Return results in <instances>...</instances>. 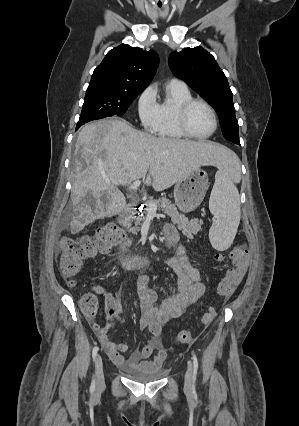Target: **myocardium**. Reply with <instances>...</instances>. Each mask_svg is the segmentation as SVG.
Returning <instances> with one entry per match:
<instances>
[{
    "mask_svg": "<svg viewBox=\"0 0 299 426\" xmlns=\"http://www.w3.org/2000/svg\"><path fill=\"white\" fill-rule=\"evenodd\" d=\"M196 104L204 105L210 111V113L213 117V121H214L213 130L207 135H202V136L196 135L193 132H191V130L189 129L188 114H189L191 108ZM177 123H178V127H179L180 131L182 132V134L185 137L197 139V140H204V139H208L211 136H213L216 133V131L218 129V124H219L217 113H216L215 109L213 108V106L210 103H208L206 100H203V99H200V98H191V99L185 101L180 106L178 113H177Z\"/></svg>",
    "mask_w": 299,
    "mask_h": 426,
    "instance_id": "myocardium-1",
    "label": "myocardium"
}]
</instances>
